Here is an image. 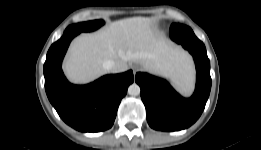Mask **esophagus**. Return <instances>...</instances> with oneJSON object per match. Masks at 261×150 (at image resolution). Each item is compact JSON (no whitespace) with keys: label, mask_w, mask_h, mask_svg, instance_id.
Instances as JSON below:
<instances>
[{"label":"esophagus","mask_w":261,"mask_h":150,"mask_svg":"<svg viewBox=\"0 0 261 150\" xmlns=\"http://www.w3.org/2000/svg\"><path fill=\"white\" fill-rule=\"evenodd\" d=\"M141 70H142V67L140 65H138V64L134 65V67H133V72L134 73H137V72H139Z\"/></svg>","instance_id":"obj_1"}]
</instances>
